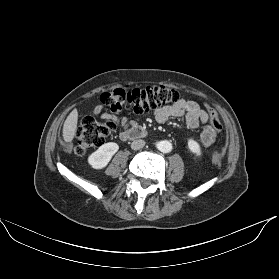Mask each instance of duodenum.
Listing matches in <instances>:
<instances>
[{"instance_id":"duodenum-1","label":"duodenum","mask_w":279,"mask_h":279,"mask_svg":"<svg viewBox=\"0 0 279 279\" xmlns=\"http://www.w3.org/2000/svg\"><path fill=\"white\" fill-rule=\"evenodd\" d=\"M125 139H140V138H144L148 135V132L146 129L139 127V126H134L128 130H126L123 133Z\"/></svg>"}]
</instances>
